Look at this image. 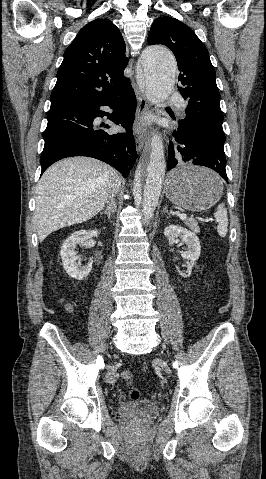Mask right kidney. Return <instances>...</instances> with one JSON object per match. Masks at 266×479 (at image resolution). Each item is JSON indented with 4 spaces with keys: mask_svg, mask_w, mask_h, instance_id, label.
Masks as SVG:
<instances>
[{
    "mask_svg": "<svg viewBox=\"0 0 266 479\" xmlns=\"http://www.w3.org/2000/svg\"><path fill=\"white\" fill-rule=\"evenodd\" d=\"M98 235L99 232L97 230H80L71 234V236L64 241L60 254L63 267L70 277L77 280H84L88 276L92 269L93 260H90L85 266H80L79 263H77L78 256L75 252V248L77 245H84L88 239L97 237Z\"/></svg>",
    "mask_w": 266,
    "mask_h": 479,
    "instance_id": "right-kidney-1",
    "label": "right kidney"
}]
</instances>
